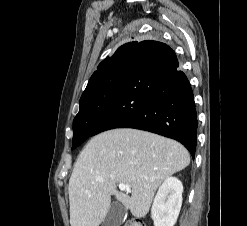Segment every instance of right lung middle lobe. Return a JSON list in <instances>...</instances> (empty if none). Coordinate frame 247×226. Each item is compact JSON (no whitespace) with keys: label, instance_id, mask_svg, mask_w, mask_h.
<instances>
[{"label":"right lung middle lobe","instance_id":"right-lung-middle-lobe-1","mask_svg":"<svg viewBox=\"0 0 247 226\" xmlns=\"http://www.w3.org/2000/svg\"><path fill=\"white\" fill-rule=\"evenodd\" d=\"M129 59L128 55L113 57L93 84L82 94L80 110L73 121L72 149L91 136L98 121L120 88Z\"/></svg>","mask_w":247,"mask_h":226}]
</instances>
